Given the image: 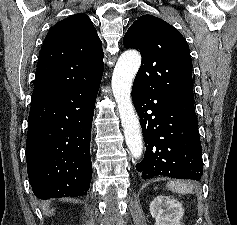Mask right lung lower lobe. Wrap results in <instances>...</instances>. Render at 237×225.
Returning a JSON list of instances; mask_svg holds the SVG:
<instances>
[{
  "mask_svg": "<svg viewBox=\"0 0 237 225\" xmlns=\"http://www.w3.org/2000/svg\"><path fill=\"white\" fill-rule=\"evenodd\" d=\"M100 82L31 102L26 161L29 182L38 198L87 194L92 178L91 127Z\"/></svg>",
  "mask_w": 237,
  "mask_h": 225,
  "instance_id": "98d812e1",
  "label": "right lung lower lobe"
}]
</instances>
